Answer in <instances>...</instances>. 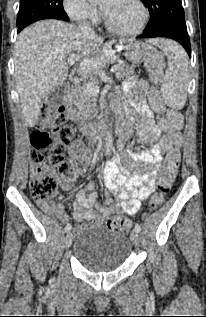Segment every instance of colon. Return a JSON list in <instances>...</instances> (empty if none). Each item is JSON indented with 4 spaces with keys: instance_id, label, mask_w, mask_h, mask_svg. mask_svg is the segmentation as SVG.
I'll use <instances>...</instances> for the list:
<instances>
[{
    "instance_id": "obj_1",
    "label": "colon",
    "mask_w": 206,
    "mask_h": 317,
    "mask_svg": "<svg viewBox=\"0 0 206 317\" xmlns=\"http://www.w3.org/2000/svg\"><path fill=\"white\" fill-rule=\"evenodd\" d=\"M146 67L151 73L153 84L162 80L164 60L161 55L154 54L146 61ZM64 107L44 105L41 119L30 136L33 148L31 154L30 193L36 201H47L54 196L58 188V180L53 174L56 169L64 179H73L82 171V160L66 158L67 146L73 138V130L65 124ZM161 126L168 132H176L183 126L182 115L173 109H163L160 117ZM180 164V153L173 151L166 159L158 179L159 193L154 195L150 208L155 209L163 201L176 177ZM108 227L125 232L130 228V222L124 217L108 220Z\"/></svg>"
}]
</instances>
